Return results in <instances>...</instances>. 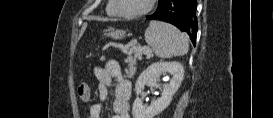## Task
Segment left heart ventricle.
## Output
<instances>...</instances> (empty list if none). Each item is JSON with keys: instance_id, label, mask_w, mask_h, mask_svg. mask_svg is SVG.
<instances>
[{"instance_id": "1", "label": "left heart ventricle", "mask_w": 273, "mask_h": 118, "mask_svg": "<svg viewBox=\"0 0 273 118\" xmlns=\"http://www.w3.org/2000/svg\"><path fill=\"white\" fill-rule=\"evenodd\" d=\"M149 0H119L120 9L126 13L140 12L147 6Z\"/></svg>"}]
</instances>
